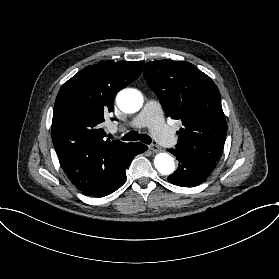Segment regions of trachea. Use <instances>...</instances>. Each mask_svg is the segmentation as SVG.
I'll return each mask as SVG.
<instances>
[{"label": "trachea", "instance_id": "obj_1", "mask_svg": "<svg viewBox=\"0 0 279 279\" xmlns=\"http://www.w3.org/2000/svg\"><path fill=\"white\" fill-rule=\"evenodd\" d=\"M121 140H132V141H136V140H140L141 142L145 143V144H150L152 142V139L149 135L147 134H139L136 131H130L128 133H126L123 137H121Z\"/></svg>", "mask_w": 279, "mask_h": 279}]
</instances>
